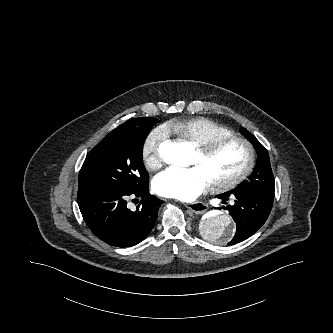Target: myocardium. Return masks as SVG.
I'll return each instance as SVG.
<instances>
[{"instance_id":"1","label":"myocardium","mask_w":333,"mask_h":333,"mask_svg":"<svg viewBox=\"0 0 333 333\" xmlns=\"http://www.w3.org/2000/svg\"><path fill=\"white\" fill-rule=\"evenodd\" d=\"M229 143H238L244 147L246 151V162L243 168L236 174L225 179H216L211 181L212 185L217 189H230L239 185L251 174L255 165V150L251 142L243 137L233 134L219 137L204 144L198 145L197 151L201 155L207 157Z\"/></svg>"}]
</instances>
